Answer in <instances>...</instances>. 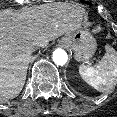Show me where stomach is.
Returning <instances> with one entry per match:
<instances>
[{"label": "stomach", "instance_id": "stomach-1", "mask_svg": "<svg viewBox=\"0 0 117 117\" xmlns=\"http://www.w3.org/2000/svg\"><path fill=\"white\" fill-rule=\"evenodd\" d=\"M60 43L71 48L78 61L89 59L96 51V40L88 30H76L64 36Z\"/></svg>", "mask_w": 117, "mask_h": 117}]
</instances>
